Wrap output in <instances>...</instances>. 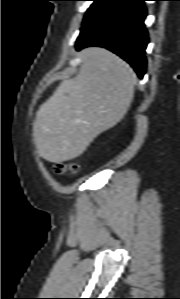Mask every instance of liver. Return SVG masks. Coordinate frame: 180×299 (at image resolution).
Wrapping results in <instances>:
<instances>
[{
	"mask_svg": "<svg viewBox=\"0 0 180 299\" xmlns=\"http://www.w3.org/2000/svg\"><path fill=\"white\" fill-rule=\"evenodd\" d=\"M80 58L78 74L60 83L33 124L34 144L52 163L82 155L98 135L121 121L134 97L136 75L118 56L91 47Z\"/></svg>",
	"mask_w": 180,
	"mask_h": 299,
	"instance_id": "liver-1",
	"label": "liver"
}]
</instances>
